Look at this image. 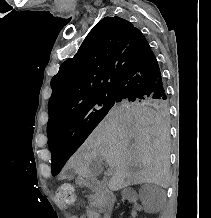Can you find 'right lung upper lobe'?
I'll return each instance as SVG.
<instances>
[{"label": "right lung upper lobe", "mask_w": 211, "mask_h": 218, "mask_svg": "<svg viewBox=\"0 0 211 218\" xmlns=\"http://www.w3.org/2000/svg\"><path fill=\"white\" fill-rule=\"evenodd\" d=\"M143 34L129 21L105 17L89 32L77 54L51 80L48 127L66 112L113 90L127 71L150 53Z\"/></svg>", "instance_id": "obj_1"}]
</instances>
